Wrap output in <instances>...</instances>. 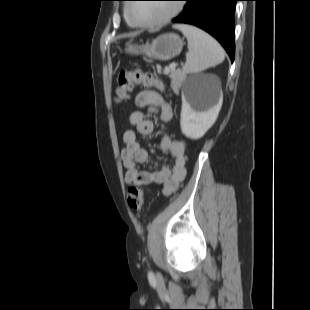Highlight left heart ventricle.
I'll use <instances>...</instances> for the list:
<instances>
[{
  "label": "left heart ventricle",
  "mask_w": 310,
  "mask_h": 310,
  "mask_svg": "<svg viewBox=\"0 0 310 310\" xmlns=\"http://www.w3.org/2000/svg\"><path fill=\"white\" fill-rule=\"evenodd\" d=\"M172 7L169 3H136L130 7V15L140 22H155L168 15Z\"/></svg>",
  "instance_id": "left-heart-ventricle-1"
}]
</instances>
